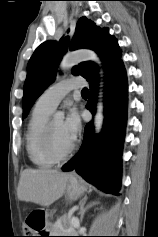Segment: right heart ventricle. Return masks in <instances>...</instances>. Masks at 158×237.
<instances>
[{
  "label": "right heart ventricle",
  "mask_w": 158,
  "mask_h": 237,
  "mask_svg": "<svg viewBox=\"0 0 158 237\" xmlns=\"http://www.w3.org/2000/svg\"><path fill=\"white\" fill-rule=\"evenodd\" d=\"M52 111L34 106L28 123L25 143L30 161L39 168H49L54 162L47 157L42 147V133Z\"/></svg>",
  "instance_id": "obj_1"
}]
</instances>
